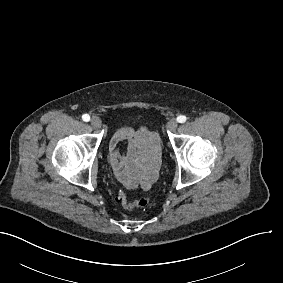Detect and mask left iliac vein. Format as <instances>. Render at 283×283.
Segmentation results:
<instances>
[{
	"label": "left iliac vein",
	"mask_w": 283,
	"mask_h": 283,
	"mask_svg": "<svg viewBox=\"0 0 283 283\" xmlns=\"http://www.w3.org/2000/svg\"><path fill=\"white\" fill-rule=\"evenodd\" d=\"M178 126V122L175 118H172L168 121L166 128L168 130H175Z\"/></svg>",
	"instance_id": "4c4485c4"
}]
</instances>
